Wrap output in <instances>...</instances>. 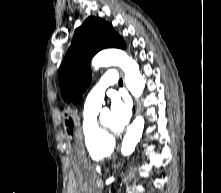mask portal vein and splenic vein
Listing matches in <instances>:
<instances>
[{
	"instance_id": "18ae733b",
	"label": "portal vein and splenic vein",
	"mask_w": 221,
	"mask_h": 193,
	"mask_svg": "<svg viewBox=\"0 0 221 193\" xmlns=\"http://www.w3.org/2000/svg\"><path fill=\"white\" fill-rule=\"evenodd\" d=\"M98 184H99V186H102V184H103V180H102L101 178L99 179Z\"/></svg>"
}]
</instances>
